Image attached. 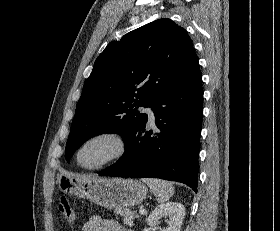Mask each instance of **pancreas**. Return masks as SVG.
Wrapping results in <instances>:
<instances>
[{
	"label": "pancreas",
	"mask_w": 280,
	"mask_h": 231,
	"mask_svg": "<svg viewBox=\"0 0 280 231\" xmlns=\"http://www.w3.org/2000/svg\"><path fill=\"white\" fill-rule=\"evenodd\" d=\"M116 213H120V215H123L124 223H127V225H130V227H132L133 219H135L134 211H130V209H128V207H124V209H122V207H120V209H116ZM136 217H138V215H136Z\"/></svg>",
	"instance_id": "cf45deb5"
}]
</instances>
